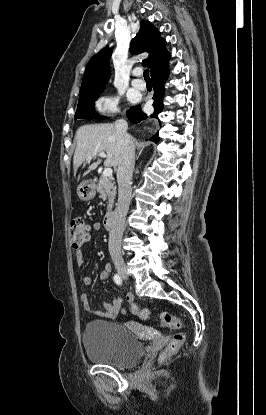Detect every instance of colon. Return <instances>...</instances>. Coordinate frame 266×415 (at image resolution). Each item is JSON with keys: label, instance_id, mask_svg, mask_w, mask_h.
Here are the masks:
<instances>
[{"label": "colon", "instance_id": "5ec220e1", "mask_svg": "<svg viewBox=\"0 0 266 415\" xmlns=\"http://www.w3.org/2000/svg\"><path fill=\"white\" fill-rule=\"evenodd\" d=\"M90 235V229L82 218H75L70 225V242L74 249H79L84 243L87 242ZM130 310L138 315L141 319H147L149 317V311L147 309H140L134 303L129 302ZM160 326L166 329L179 331L182 328V322L176 316L163 312L159 316ZM185 340V334L183 332H177L173 335L169 344L163 351L161 359L165 360L168 356L174 354L183 344Z\"/></svg>", "mask_w": 266, "mask_h": 415}]
</instances>
